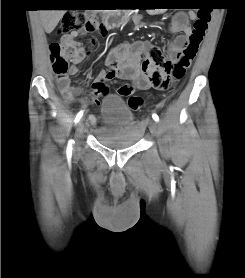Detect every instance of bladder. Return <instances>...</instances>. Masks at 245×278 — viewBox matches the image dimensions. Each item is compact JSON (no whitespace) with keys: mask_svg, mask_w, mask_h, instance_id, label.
I'll list each match as a JSON object with an SVG mask.
<instances>
[{"mask_svg":"<svg viewBox=\"0 0 245 278\" xmlns=\"http://www.w3.org/2000/svg\"><path fill=\"white\" fill-rule=\"evenodd\" d=\"M101 116L98 139L107 147L115 150L130 148L141 138L133 110L122 96L106 95L101 104Z\"/></svg>","mask_w":245,"mask_h":278,"instance_id":"1","label":"bladder"}]
</instances>
